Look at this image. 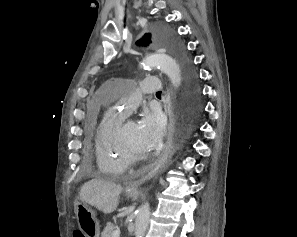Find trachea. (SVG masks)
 Here are the masks:
<instances>
[{"label": "trachea", "instance_id": "1", "mask_svg": "<svg viewBox=\"0 0 297 237\" xmlns=\"http://www.w3.org/2000/svg\"><path fill=\"white\" fill-rule=\"evenodd\" d=\"M156 95H161V91H158V92L156 93Z\"/></svg>", "mask_w": 297, "mask_h": 237}]
</instances>
